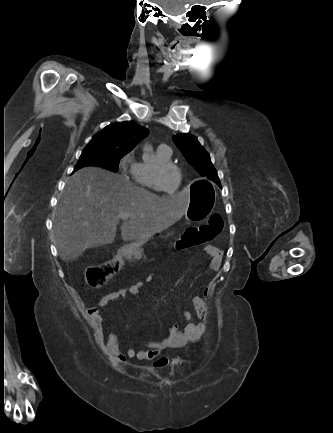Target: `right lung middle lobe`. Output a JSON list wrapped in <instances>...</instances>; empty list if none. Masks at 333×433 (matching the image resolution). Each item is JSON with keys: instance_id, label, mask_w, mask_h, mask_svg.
<instances>
[{"instance_id": "right-lung-middle-lobe-1", "label": "right lung middle lobe", "mask_w": 333, "mask_h": 433, "mask_svg": "<svg viewBox=\"0 0 333 433\" xmlns=\"http://www.w3.org/2000/svg\"><path fill=\"white\" fill-rule=\"evenodd\" d=\"M128 152L120 151L115 148L100 146H86L74 168V171L84 166H100L114 172L118 170L120 159Z\"/></svg>"}]
</instances>
